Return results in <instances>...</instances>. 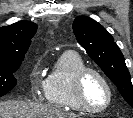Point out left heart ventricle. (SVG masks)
<instances>
[{
  "label": "left heart ventricle",
  "instance_id": "obj_1",
  "mask_svg": "<svg viewBox=\"0 0 133 118\" xmlns=\"http://www.w3.org/2000/svg\"><path fill=\"white\" fill-rule=\"evenodd\" d=\"M84 94L87 103L93 108L104 106L108 99V92L103 81L95 74H89L85 79Z\"/></svg>",
  "mask_w": 133,
  "mask_h": 118
}]
</instances>
